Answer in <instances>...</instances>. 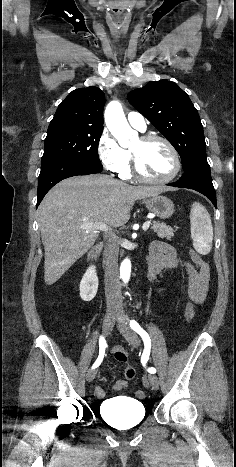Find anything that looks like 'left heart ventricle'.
Returning <instances> with one entry per match:
<instances>
[{
	"instance_id": "left-heart-ventricle-1",
	"label": "left heart ventricle",
	"mask_w": 236,
	"mask_h": 467,
	"mask_svg": "<svg viewBox=\"0 0 236 467\" xmlns=\"http://www.w3.org/2000/svg\"><path fill=\"white\" fill-rule=\"evenodd\" d=\"M131 150L138 157L140 170L148 177L164 178L173 171V157L164 143L160 141L143 143L138 139Z\"/></svg>"
}]
</instances>
